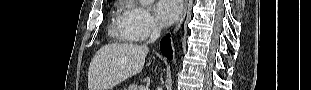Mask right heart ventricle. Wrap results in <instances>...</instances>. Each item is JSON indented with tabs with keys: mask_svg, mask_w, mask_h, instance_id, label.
<instances>
[{
	"mask_svg": "<svg viewBox=\"0 0 311 90\" xmlns=\"http://www.w3.org/2000/svg\"><path fill=\"white\" fill-rule=\"evenodd\" d=\"M122 17H123V13H121L120 11H118L116 13V17L115 19L112 21V25H111V31L112 33L120 36V38L122 40L125 41H133L124 31L123 25H122Z\"/></svg>",
	"mask_w": 311,
	"mask_h": 90,
	"instance_id": "e07e8e85",
	"label": "right heart ventricle"
}]
</instances>
